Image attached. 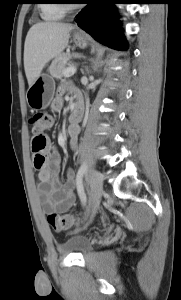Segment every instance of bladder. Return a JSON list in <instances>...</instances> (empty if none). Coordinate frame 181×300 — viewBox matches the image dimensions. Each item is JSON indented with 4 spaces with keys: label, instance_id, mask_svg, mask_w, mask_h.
Instances as JSON below:
<instances>
[{
    "label": "bladder",
    "instance_id": "31cf9c89",
    "mask_svg": "<svg viewBox=\"0 0 181 300\" xmlns=\"http://www.w3.org/2000/svg\"><path fill=\"white\" fill-rule=\"evenodd\" d=\"M68 249L77 254H85L89 251V245L83 241H73L69 243Z\"/></svg>",
    "mask_w": 181,
    "mask_h": 300
}]
</instances>
